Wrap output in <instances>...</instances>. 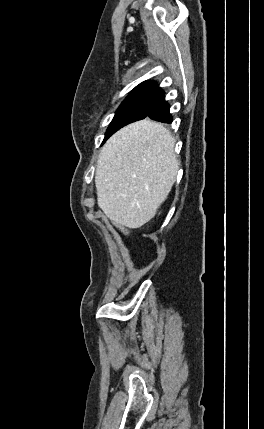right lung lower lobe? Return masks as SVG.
Instances as JSON below:
<instances>
[{"instance_id":"98d812e1","label":"right lung lower lobe","mask_w":264,"mask_h":429,"mask_svg":"<svg viewBox=\"0 0 264 429\" xmlns=\"http://www.w3.org/2000/svg\"><path fill=\"white\" fill-rule=\"evenodd\" d=\"M169 108V104L164 99V92H162V95L153 105L146 117L164 123H171L172 117L169 113Z\"/></svg>"}]
</instances>
